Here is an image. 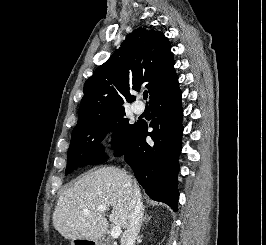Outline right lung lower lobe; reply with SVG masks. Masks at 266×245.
I'll use <instances>...</instances> for the list:
<instances>
[{"instance_id":"obj_1","label":"right lung lower lobe","mask_w":266,"mask_h":245,"mask_svg":"<svg viewBox=\"0 0 266 245\" xmlns=\"http://www.w3.org/2000/svg\"><path fill=\"white\" fill-rule=\"evenodd\" d=\"M178 80L150 101L152 121L137 122L135 134L122 154L146 193L177 210L178 156L181 151L183 110ZM148 126L153 130L148 132ZM150 136L154 143L148 144ZM121 156V155H119Z\"/></svg>"}]
</instances>
